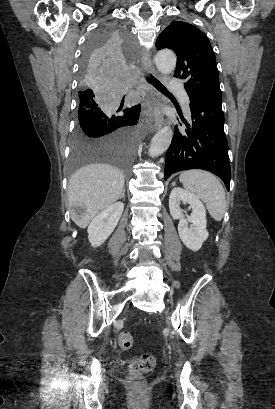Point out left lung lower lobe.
Here are the masks:
<instances>
[{
    "label": "left lung lower lobe",
    "instance_id": "obj_1",
    "mask_svg": "<svg viewBox=\"0 0 275 409\" xmlns=\"http://www.w3.org/2000/svg\"><path fill=\"white\" fill-rule=\"evenodd\" d=\"M190 98L192 125L175 129L165 161V180L188 169H203L219 176L229 190L231 171L221 103Z\"/></svg>",
    "mask_w": 275,
    "mask_h": 409
}]
</instances>
